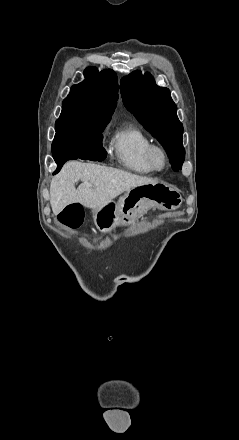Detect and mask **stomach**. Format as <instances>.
Instances as JSON below:
<instances>
[{
    "label": "stomach",
    "mask_w": 239,
    "mask_h": 440,
    "mask_svg": "<svg viewBox=\"0 0 239 440\" xmlns=\"http://www.w3.org/2000/svg\"><path fill=\"white\" fill-rule=\"evenodd\" d=\"M182 204L181 194L166 184H147L125 192L116 202H108L93 210L94 224L102 234L112 232L116 226H131L134 220L147 214L151 206L162 210H177Z\"/></svg>",
    "instance_id": "obj_1"
}]
</instances>
